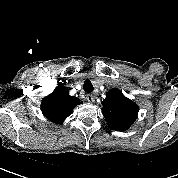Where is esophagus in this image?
I'll return each instance as SVG.
<instances>
[{
	"label": "esophagus",
	"instance_id": "34e87169",
	"mask_svg": "<svg viewBox=\"0 0 178 178\" xmlns=\"http://www.w3.org/2000/svg\"><path fill=\"white\" fill-rule=\"evenodd\" d=\"M86 99H87L88 102L94 103L95 100H96V97H95L93 94H88V95L86 96Z\"/></svg>",
	"mask_w": 178,
	"mask_h": 178
}]
</instances>
